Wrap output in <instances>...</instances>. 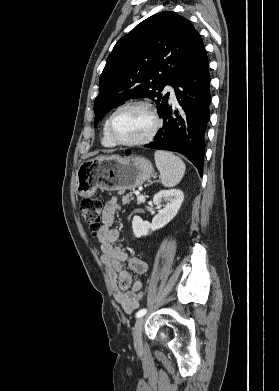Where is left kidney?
Here are the masks:
<instances>
[{"label": "left kidney", "instance_id": "5707ae66", "mask_svg": "<svg viewBox=\"0 0 279 391\" xmlns=\"http://www.w3.org/2000/svg\"><path fill=\"white\" fill-rule=\"evenodd\" d=\"M184 194L179 189L161 190L153 197V203L158 209V213L153 217L152 223L142 220L140 216H134L132 229L135 237L147 236L168 224L178 213Z\"/></svg>", "mask_w": 279, "mask_h": 391}]
</instances>
